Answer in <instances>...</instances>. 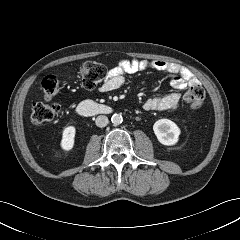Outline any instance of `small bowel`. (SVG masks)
<instances>
[{"label":"small bowel","instance_id":"c3829d8e","mask_svg":"<svg viewBox=\"0 0 240 240\" xmlns=\"http://www.w3.org/2000/svg\"><path fill=\"white\" fill-rule=\"evenodd\" d=\"M144 71H155L170 75L171 84L177 90L164 96L148 98L143 104V109L146 111L175 109L181 100L180 91L199 83L191 71L176 63L163 60L120 59L118 64L108 72L99 89L102 92L116 90L123 85L126 74Z\"/></svg>","mask_w":240,"mask_h":240}]
</instances>
